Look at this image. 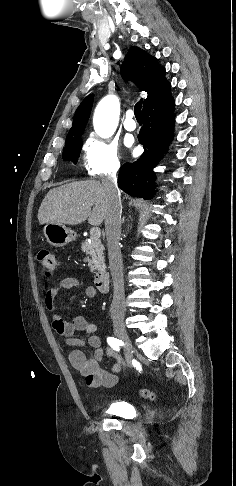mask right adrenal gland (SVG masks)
Returning <instances> with one entry per match:
<instances>
[{
	"label": "right adrenal gland",
	"mask_w": 236,
	"mask_h": 486,
	"mask_svg": "<svg viewBox=\"0 0 236 486\" xmlns=\"http://www.w3.org/2000/svg\"><path fill=\"white\" fill-rule=\"evenodd\" d=\"M122 223H124V217L122 218Z\"/></svg>",
	"instance_id": "right-adrenal-gland-1"
}]
</instances>
